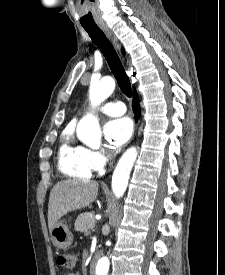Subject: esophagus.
Returning <instances> with one entry per match:
<instances>
[{"label":"esophagus","instance_id":"1","mask_svg":"<svg viewBox=\"0 0 225 275\" xmlns=\"http://www.w3.org/2000/svg\"><path fill=\"white\" fill-rule=\"evenodd\" d=\"M100 28L104 32V34L107 36V38L112 42V44L117 49H119V42H118L116 36L114 35V33L112 32V30L106 25H101Z\"/></svg>","mask_w":225,"mask_h":275}]
</instances>
